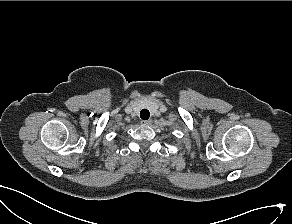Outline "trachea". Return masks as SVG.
Segmentation results:
<instances>
[{
    "label": "trachea",
    "instance_id": "trachea-1",
    "mask_svg": "<svg viewBox=\"0 0 292 224\" xmlns=\"http://www.w3.org/2000/svg\"><path fill=\"white\" fill-rule=\"evenodd\" d=\"M140 117L143 120H148L150 117V112L147 109H142L140 112Z\"/></svg>",
    "mask_w": 292,
    "mask_h": 224
}]
</instances>
